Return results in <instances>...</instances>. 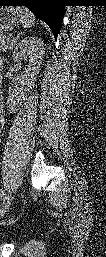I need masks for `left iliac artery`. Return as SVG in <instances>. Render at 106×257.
<instances>
[{
    "mask_svg": "<svg viewBox=\"0 0 106 257\" xmlns=\"http://www.w3.org/2000/svg\"><path fill=\"white\" fill-rule=\"evenodd\" d=\"M0 197H1V199H2V197H4V189H1V191H0Z\"/></svg>",
    "mask_w": 106,
    "mask_h": 257,
    "instance_id": "left-iliac-artery-1",
    "label": "left iliac artery"
}]
</instances>
